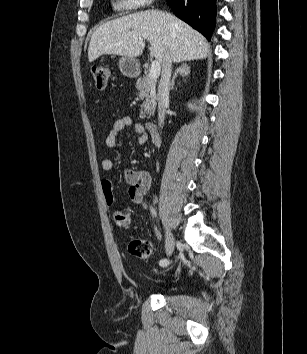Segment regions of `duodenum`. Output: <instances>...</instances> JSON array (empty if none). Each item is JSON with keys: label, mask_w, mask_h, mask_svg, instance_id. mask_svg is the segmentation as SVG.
<instances>
[{"label": "duodenum", "mask_w": 307, "mask_h": 354, "mask_svg": "<svg viewBox=\"0 0 307 354\" xmlns=\"http://www.w3.org/2000/svg\"><path fill=\"white\" fill-rule=\"evenodd\" d=\"M145 128L149 132L153 142L159 143L160 138H159V134H158V130H157L156 124L153 123V122H147L145 124Z\"/></svg>", "instance_id": "410a0bca"}]
</instances>
